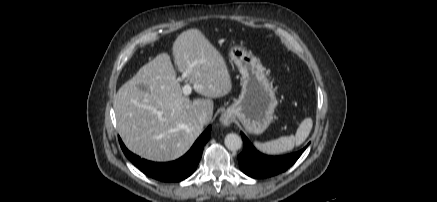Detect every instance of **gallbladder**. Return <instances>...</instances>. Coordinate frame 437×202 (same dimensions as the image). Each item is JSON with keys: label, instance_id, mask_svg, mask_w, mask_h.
I'll return each mask as SVG.
<instances>
[{"label": "gallbladder", "instance_id": "obj_1", "mask_svg": "<svg viewBox=\"0 0 437 202\" xmlns=\"http://www.w3.org/2000/svg\"><path fill=\"white\" fill-rule=\"evenodd\" d=\"M139 88H140L142 91H147V90H148L147 86H145V85H143V84H140V85H139Z\"/></svg>", "mask_w": 437, "mask_h": 202}]
</instances>
